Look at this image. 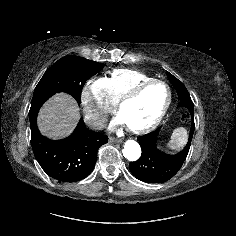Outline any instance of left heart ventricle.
<instances>
[{
    "mask_svg": "<svg viewBox=\"0 0 236 236\" xmlns=\"http://www.w3.org/2000/svg\"><path fill=\"white\" fill-rule=\"evenodd\" d=\"M167 99L168 91L164 85H151L137 99L126 104L121 115L129 126H145L158 116Z\"/></svg>",
    "mask_w": 236,
    "mask_h": 236,
    "instance_id": "left-heart-ventricle-1",
    "label": "left heart ventricle"
}]
</instances>
